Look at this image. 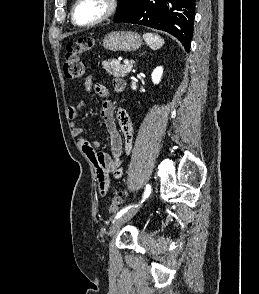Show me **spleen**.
<instances>
[{
  "mask_svg": "<svg viewBox=\"0 0 259 294\" xmlns=\"http://www.w3.org/2000/svg\"><path fill=\"white\" fill-rule=\"evenodd\" d=\"M143 37L145 42L153 50H157L164 45V39H162L158 34L145 33Z\"/></svg>",
  "mask_w": 259,
  "mask_h": 294,
  "instance_id": "obj_1",
  "label": "spleen"
}]
</instances>
